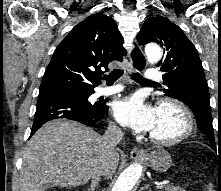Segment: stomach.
<instances>
[{
    "label": "stomach",
    "mask_w": 221,
    "mask_h": 191,
    "mask_svg": "<svg viewBox=\"0 0 221 191\" xmlns=\"http://www.w3.org/2000/svg\"><path fill=\"white\" fill-rule=\"evenodd\" d=\"M142 160H146L149 166L158 172L167 171L172 164L170 154L163 149L153 150L145 159Z\"/></svg>",
    "instance_id": "0dacf381"
}]
</instances>
